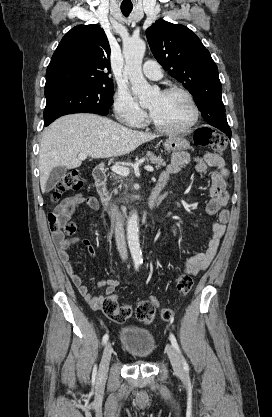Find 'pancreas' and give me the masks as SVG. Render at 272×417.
<instances>
[{
    "label": "pancreas",
    "mask_w": 272,
    "mask_h": 417,
    "mask_svg": "<svg viewBox=\"0 0 272 417\" xmlns=\"http://www.w3.org/2000/svg\"><path fill=\"white\" fill-rule=\"evenodd\" d=\"M146 159H147V161H150L151 163L155 164L156 169H160L161 167L166 165L165 162H164V159H162L160 156H156V155L152 154L151 152H147ZM118 182L123 183L124 180L122 178H120V180H118Z\"/></svg>",
    "instance_id": "obj_1"
}]
</instances>
